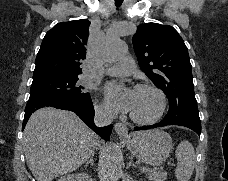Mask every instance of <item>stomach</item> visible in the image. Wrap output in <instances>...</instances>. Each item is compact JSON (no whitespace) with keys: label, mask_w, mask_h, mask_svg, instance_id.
Instances as JSON below:
<instances>
[{"label":"stomach","mask_w":228,"mask_h":181,"mask_svg":"<svg viewBox=\"0 0 228 181\" xmlns=\"http://www.w3.org/2000/svg\"><path fill=\"white\" fill-rule=\"evenodd\" d=\"M120 139H124L127 149L134 157L152 167H160L172 151V139L161 129L131 133L128 137H120Z\"/></svg>","instance_id":"0dacf381"}]
</instances>
